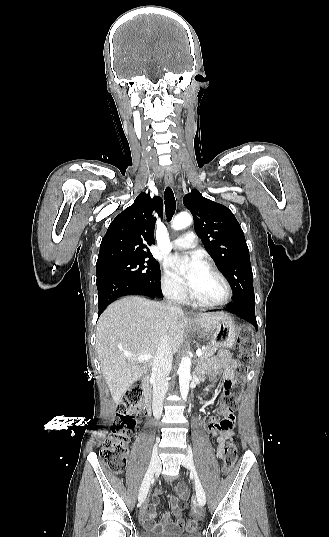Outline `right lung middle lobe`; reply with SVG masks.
I'll use <instances>...</instances> for the list:
<instances>
[{
	"label": "right lung middle lobe",
	"instance_id": "obj_1",
	"mask_svg": "<svg viewBox=\"0 0 329 537\" xmlns=\"http://www.w3.org/2000/svg\"><path fill=\"white\" fill-rule=\"evenodd\" d=\"M97 277L113 275L160 284V267L154 258L114 260L96 266Z\"/></svg>",
	"mask_w": 329,
	"mask_h": 537
}]
</instances>
